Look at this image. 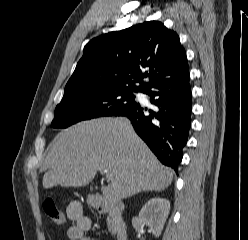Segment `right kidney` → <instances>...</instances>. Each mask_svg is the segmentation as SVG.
I'll return each mask as SVG.
<instances>
[{
	"label": "right kidney",
	"mask_w": 248,
	"mask_h": 240,
	"mask_svg": "<svg viewBox=\"0 0 248 240\" xmlns=\"http://www.w3.org/2000/svg\"><path fill=\"white\" fill-rule=\"evenodd\" d=\"M170 210V202L167 199L155 197L150 199L141 209L139 220L143 225L150 227L151 233L159 237Z\"/></svg>",
	"instance_id": "ca27d5eb"
}]
</instances>
